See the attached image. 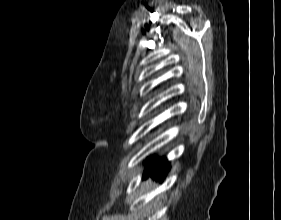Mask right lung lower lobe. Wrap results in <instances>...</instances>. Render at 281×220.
I'll return each mask as SVG.
<instances>
[{"label":"right lung lower lobe","instance_id":"right-lung-lower-lobe-1","mask_svg":"<svg viewBox=\"0 0 281 220\" xmlns=\"http://www.w3.org/2000/svg\"><path fill=\"white\" fill-rule=\"evenodd\" d=\"M149 162L146 170L144 171V175H150L154 177H161L163 178L166 176V173L170 169L169 162L166 158H148L147 160Z\"/></svg>","mask_w":281,"mask_h":220}]
</instances>
